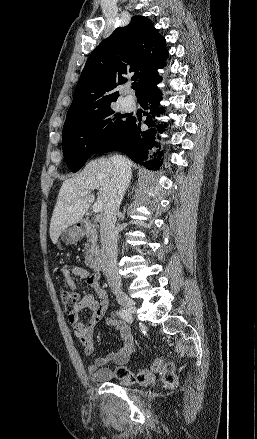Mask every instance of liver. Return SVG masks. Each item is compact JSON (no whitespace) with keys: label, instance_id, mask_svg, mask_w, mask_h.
Instances as JSON below:
<instances>
[{"label":"liver","instance_id":"1","mask_svg":"<svg viewBox=\"0 0 257 439\" xmlns=\"http://www.w3.org/2000/svg\"><path fill=\"white\" fill-rule=\"evenodd\" d=\"M113 176L114 165L111 158L102 157L90 161L78 175L63 182L50 222L49 233L54 244L65 229L83 218L95 200L92 190H98L97 198L103 202L104 207ZM83 192L89 193L81 196Z\"/></svg>","mask_w":257,"mask_h":439}]
</instances>
